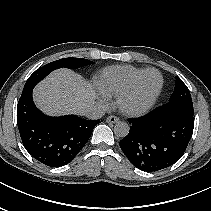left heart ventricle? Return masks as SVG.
I'll return each mask as SVG.
<instances>
[{"label":"left heart ventricle","instance_id":"1","mask_svg":"<svg viewBox=\"0 0 211 211\" xmlns=\"http://www.w3.org/2000/svg\"><path fill=\"white\" fill-rule=\"evenodd\" d=\"M160 83L161 79L157 73L152 72L146 75L129 104L133 107H139L147 103L158 90Z\"/></svg>","mask_w":211,"mask_h":211}]
</instances>
